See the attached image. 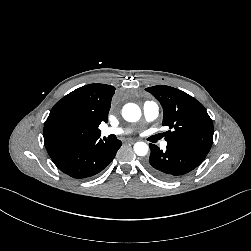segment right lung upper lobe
Masks as SVG:
<instances>
[{
  "instance_id": "obj_1",
  "label": "right lung upper lobe",
  "mask_w": 251,
  "mask_h": 251,
  "mask_svg": "<svg viewBox=\"0 0 251 251\" xmlns=\"http://www.w3.org/2000/svg\"><path fill=\"white\" fill-rule=\"evenodd\" d=\"M115 87L89 84L63 97L50 111L44 125V142L49 155L72 142L99 138L98 126L108 121Z\"/></svg>"
}]
</instances>
